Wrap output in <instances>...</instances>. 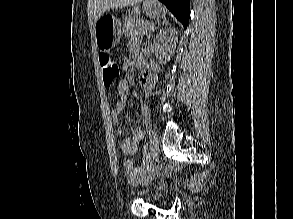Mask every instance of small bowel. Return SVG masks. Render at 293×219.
<instances>
[{"mask_svg":"<svg viewBox=\"0 0 293 219\" xmlns=\"http://www.w3.org/2000/svg\"><path fill=\"white\" fill-rule=\"evenodd\" d=\"M132 56L137 63L141 62V57L139 53V45L137 43L131 44ZM126 67V65L124 66ZM148 73L143 72L141 74V84H146L148 81ZM119 100L115 104V108L112 112L113 122L118 125L119 115L126 108V103L128 99V84L126 81H121L118 87ZM119 136H123L122 130L117 131ZM144 133L139 126H136L132 131V137L130 139L125 138L121 143V149L126 155H134L138 149L140 141L143 139Z\"/></svg>","mask_w":293,"mask_h":219,"instance_id":"obj_1","label":"small bowel"}]
</instances>
